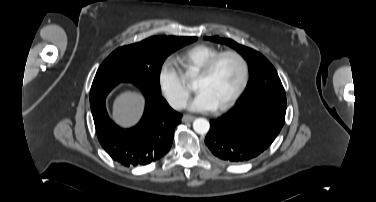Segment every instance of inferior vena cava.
Segmentation results:
<instances>
[{
    "instance_id": "inferior-vena-cava-1",
    "label": "inferior vena cava",
    "mask_w": 376,
    "mask_h": 202,
    "mask_svg": "<svg viewBox=\"0 0 376 202\" xmlns=\"http://www.w3.org/2000/svg\"><path fill=\"white\" fill-rule=\"evenodd\" d=\"M169 104L174 109H177V110L184 109L187 104V99L181 96L175 97L169 100Z\"/></svg>"
}]
</instances>
